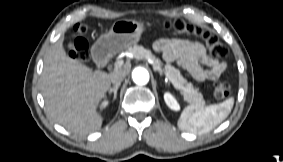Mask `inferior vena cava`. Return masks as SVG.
<instances>
[{"label": "inferior vena cava", "mask_w": 283, "mask_h": 162, "mask_svg": "<svg viewBox=\"0 0 283 162\" xmlns=\"http://www.w3.org/2000/svg\"><path fill=\"white\" fill-rule=\"evenodd\" d=\"M125 76L126 74L123 71L115 72L112 74L111 82L115 85H118L124 80Z\"/></svg>", "instance_id": "inferior-vena-cava-1"}]
</instances>
